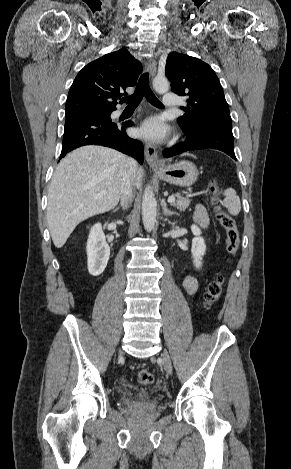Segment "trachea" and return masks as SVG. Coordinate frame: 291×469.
<instances>
[{"label":"trachea","mask_w":291,"mask_h":469,"mask_svg":"<svg viewBox=\"0 0 291 469\" xmlns=\"http://www.w3.org/2000/svg\"><path fill=\"white\" fill-rule=\"evenodd\" d=\"M143 96L152 105L157 107H163V104L156 98L149 86V73H144L140 76L135 92L129 96L124 97L121 100L127 104L129 108H135L141 102Z\"/></svg>","instance_id":"obj_1"}]
</instances>
